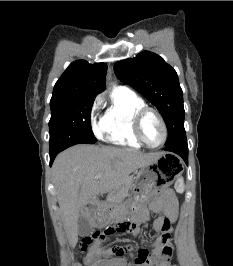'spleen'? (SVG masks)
Here are the masks:
<instances>
[{
	"label": "spleen",
	"instance_id": "3e777b00",
	"mask_svg": "<svg viewBox=\"0 0 233 266\" xmlns=\"http://www.w3.org/2000/svg\"><path fill=\"white\" fill-rule=\"evenodd\" d=\"M175 189L178 193H183L184 191V180L180 177L175 183Z\"/></svg>",
	"mask_w": 233,
	"mask_h": 266
}]
</instances>
